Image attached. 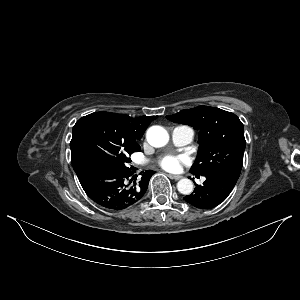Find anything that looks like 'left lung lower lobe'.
Segmentation results:
<instances>
[{"label":"left lung lower lobe","instance_id":"left-lung-lower-lobe-1","mask_svg":"<svg viewBox=\"0 0 300 300\" xmlns=\"http://www.w3.org/2000/svg\"><path fill=\"white\" fill-rule=\"evenodd\" d=\"M204 176L206 180L203 185L195 184L194 192L184 197L187 203L200 209H212L222 203L238 180V178L220 172H213Z\"/></svg>","mask_w":300,"mask_h":300}]
</instances>
